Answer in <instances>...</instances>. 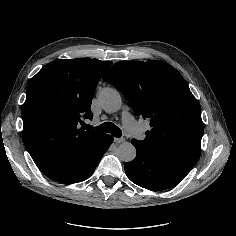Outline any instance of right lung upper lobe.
I'll use <instances>...</instances> for the list:
<instances>
[{"label":"right lung upper lobe","instance_id":"obj_1","mask_svg":"<svg viewBox=\"0 0 236 236\" xmlns=\"http://www.w3.org/2000/svg\"><path fill=\"white\" fill-rule=\"evenodd\" d=\"M112 64L97 59L56 60L30 81L22 106L23 141L38 168L49 178L75 151L105 133L79 128L92 119V96L102 73Z\"/></svg>","mask_w":236,"mask_h":236}]
</instances>
